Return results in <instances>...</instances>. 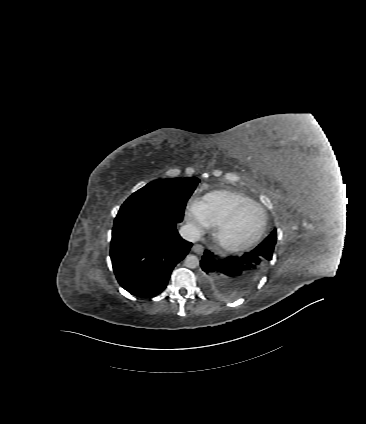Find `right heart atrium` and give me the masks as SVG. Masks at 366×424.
Here are the masks:
<instances>
[{"label":"right heart atrium","mask_w":366,"mask_h":424,"mask_svg":"<svg viewBox=\"0 0 366 424\" xmlns=\"http://www.w3.org/2000/svg\"><path fill=\"white\" fill-rule=\"evenodd\" d=\"M186 220L195 233L201 234L205 231L208 224L202 214L201 200L195 199L189 204L186 212Z\"/></svg>","instance_id":"obj_1"}]
</instances>
